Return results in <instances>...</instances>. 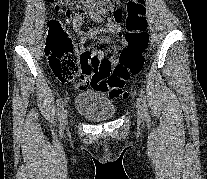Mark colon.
I'll return each instance as SVG.
<instances>
[{"label":"colon","instance_id":"obj_1","mask_svg":"<svg viewBox=\"0 0 207 179\" xmlns=\"http://www.w3.org/2000/svg\"><path fill=\"white\" fill-rule=\"evenodd\" d=\"M58 10L67 17L88 12L107 16L116 0H55ZM145 0H128L126 4L125 45L115 54L98 56L89 49L81 51L78 42L58 21H50L45 51L53 75L62 83L92 84L113 98L125 99V83L138 75L144 66V50L149 44Z\"/></svg>","mask_w":207,"mask_h":179}]
</instances>
